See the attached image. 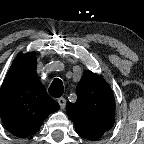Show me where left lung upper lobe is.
<instances>
[{"label": "left lung upper lobe", "mask_w": 144, "mask_h": 144, "mask_svg": "<svg viewBox=\"0 0 144 144\" xmlns=\"http://www.w3.org/2000/svg\"><path fill=\"white\" fill-rule=\"evenodd\" d=\"M66 111L81 137L97 140L114 124L113 92L103 78L88 70L77 85L76 103H68Z\"/></svg>", "instance_id": "obj_1"}]
</instances>
